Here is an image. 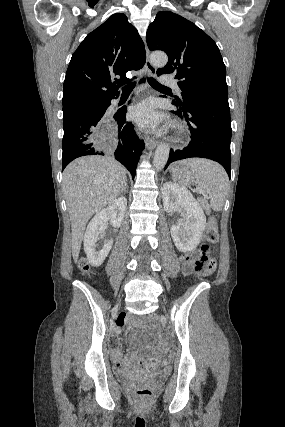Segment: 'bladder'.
Wrapping results in <instances>:
<instances>
[{
	"instance_id": "31cf9c89",
	"label": "bladder",
	"mask_w": 285,
	"mask_h": 427,
	"mask_svg": "<svg viewBox=\"0 0 285 427\" xmlns=\"http://www.w3.org/2000/svg\"><path fill=\"white\" fill-rule=\"evenodd\" d=\"M139 373V371L138 370H136V369H131L130 371H128L127 373H126V378L127 379H132V378H134L135 376H136V374H138ZM144 377H148V378H150V379H162L163 378V375H162V373H159V372H155V373H143L142 374Z\"/></svg>"
}]
</instances>
